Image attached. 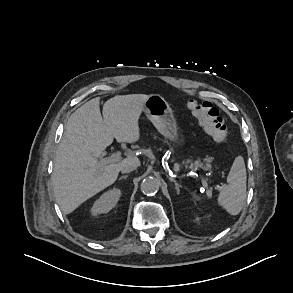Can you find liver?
<instances>
[{
    "label": "liver",
    "mask_w": 293,
    "mask_h": 293,
    "mask_svg": "<svg viewBox=\"0 0 293 293\" xmlns=\"http://www.w3.org/2000/svg\"><path fill=\"white\" fill-rule=\"evenodd\" d=\"M148 95H117L103 105L94 98L78 108L68 119L65 136L56 150L52 183L56 202L64 214L112 185L122 164L136 162L128 156L119 163L101 164L98 158L112 144L134 143L140 138L139 118Z\"/></svg>",
    "instance_id": "1"
}]
</instances>
